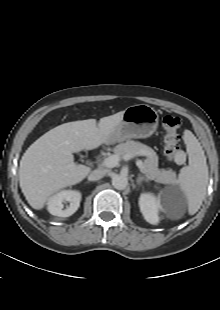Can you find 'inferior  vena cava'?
Masks as SVG:
<instances>
[{"label": "inferior vena cava", "instance_id": "obj_1", "mask_svg": "<svg viewBox=\"0 0 220 310\" xmlns=\"http://www.w3.org/2000/svg\"><path fill=\"white\" fill-rule=\"evenodd\" d=\"M105 175H106V170L96 169L90 173V175L88 176V180L97 181L103 178Z\"/></svg>", "mask_w": 220, "mask_h": 310}]
</instances>
